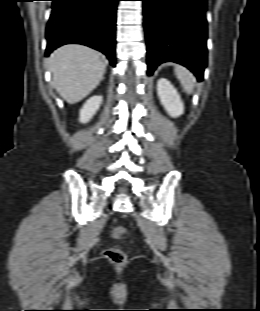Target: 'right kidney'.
<instances>
[{
    "label": "right kidney",
    "mask_w": 260,
    "mask_h": 311,
    "mask_svg": "<svg viewBox=\"0 0 260 311\" xmlns=\"http://www.w3.org/2000/svg\"><path fill=\"white\" fill-rule=\"evenodd\" d=\"M102 102V96H93L89 98L80 110L79 121L87 123L97 112Z\"/></svg>",
    "instance_id": "ca27d5eb"
}]
</instances>
